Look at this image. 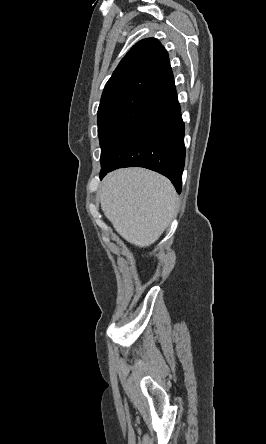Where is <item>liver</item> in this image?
<instances>
[{
	"label": "liver",
	"instance_id": "6515ba94",
	"mask_svg": "<svg viewBox=\"0 0 266 444\" xmlns=\"http://www.w3.org/2000/svg\"><path fill=\"white\" fill-rule=\"evenodd\" d=\"M99 198L104 215L127 242L155 243L177 210V193L164 176L142 168L119 169L102 181Z\"/></svg>",
	"mask_w": 266,
	"mask_h": 444
}]
</instances>
